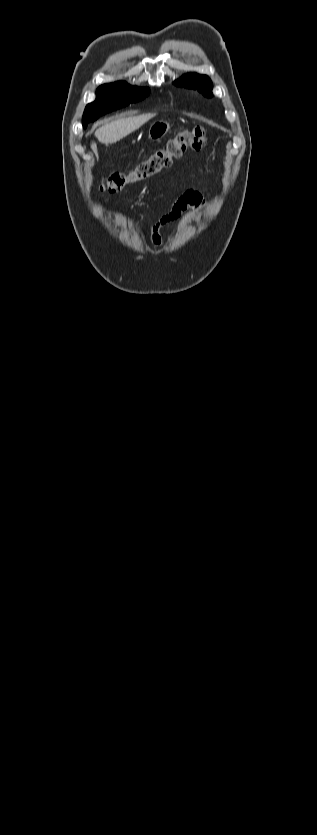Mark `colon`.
<instances>
[{"label":"colon","mask_w":317,"mask_h":835,"mask_svg":"<svg viewBox=\"0 0 317 835\" xmlns=\"http://www.w3.org/2000/svg\"><path fill=\"white\" fill-rule=\"evenodd\" d=\"M208 137L203 127L196 126L189 130L178 131L166 145L155 150L146 160L129 173H113L101 184L102 190L115 193L125 186L144 180L169 165L173 158L179 157L187 148L200 150L207 146Z\"/></svg>","instance_id":"obj_1"}]
</instances>
